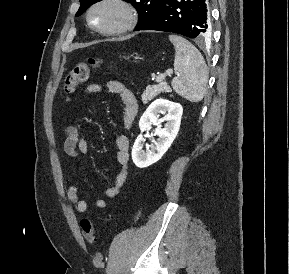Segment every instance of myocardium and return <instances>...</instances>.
Here are the masks:
<instances>
[{
  "label": "myocardium",
  "instance_id": "myocardium-1",
  "mask_svg": "<svg viewBox=\"0 0 289 274\" xmlns=\"http://www.w3.org/2000/svg\"><path fill=\"white\" fill-rule=\"evenodd\" d=\"M115 6L122 11V21L109 29H102L92 23L91 16L94 10L101 6ZM86 22L88 27L97 34L103 36H117L131 31L138 22V11L136 6L129 0H96L86 12Z\"/></svg>",
  "mask_w": 289,
  "mask_h": 274
}]
</instances>
